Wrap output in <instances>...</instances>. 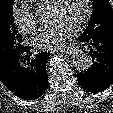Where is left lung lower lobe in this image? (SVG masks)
<instances>
[{"instance_id": "left-lung-lower-lobe-1", "label": "left lung lower lobe", "mask_w": 113, "mask_h": 113, "mask_svg": "<svg viewBox=\"0 0 113 113\" xmlns=\"http://www.w3.org/2000/svg\"><path fill=\"white\" fill-rule=\"evenodd\" d=\"M78 40L92 61L85 72L77 74L79 85L91 93L104 91L113 83V33L88 35L83 32Z\"/></svg>"}]
</instances>
